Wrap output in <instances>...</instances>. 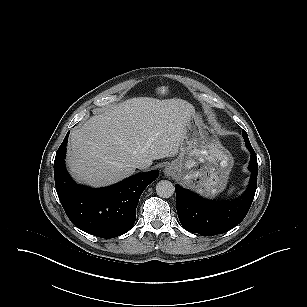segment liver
Wrapping results in <instances>:
<instances>
[{
	"label": "liver",
	"mask_w": 307,
	"mask_h": 307,
	"mask_svg": "<svg viewBox=\"0 0 307 307\" xmlns=\"http://www.w3.org/2000/svg\"><path fill=\"white\" fill-rule=\"evenodd\" d=\"M195 112L181 99H128L72 130L67 163L73 177L93 187L134 174L136 161L177 155L185 122Z\"/></svg>",
	"instance_id": "6515ba94"
}]
</instances>
